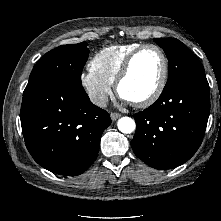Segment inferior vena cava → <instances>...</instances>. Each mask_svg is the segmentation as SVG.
<instances>
[{
  "label": "inferior vena cava",
  "instance_id": "602c4592",
  "mask_svg": "<svg viewBox=\"0 0 221 221\" xmlns=\"http://www.w3.org/2000/svg\"><path fill=\"white\" fill-rule=\"evenodd\" d=\"M90 100L93 104L99 107H106L108 102V96L104 92H95L89 95Z\"/></svg>",
  "mask_w": 221,
  "mask_h": 221
}]
</instances>
